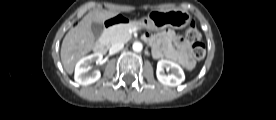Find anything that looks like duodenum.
I'll return each mask as SVG.
<instances>
[{
  "label": "duodenum",
  "mask_w": 276,
  "mask_h": 120,
  "mask_svg": "<svg viewBox=\"0 0 276 120\" xmlns=\"http://www.w3.org/2000/svg\"><path fill=\"white\" fill-rule=\"evenodd\" d=\"M132 17L125 15V14H117L114 15L113 17L107 18L104 20V27L109 29L112 28L114 26H118V25H122V26H130L132 25ZM95 51L98 54H105L107 52V45L104 41L99 42L96 47H95Z\"/></svg>",
  "instance_id": "1"
}]
</instances>
